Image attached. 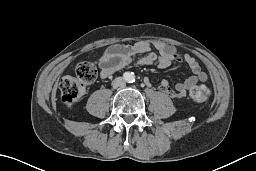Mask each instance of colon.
<instances>
[{"label":"colon","mask_w":256,"mask_h":171,"mask_svg":"<svg viewBox=\"0 0 256 171\" xmlns=\"http://www.w3.org/2000/svg\"><path fill=\"white\" fill-rule=\"evenodd\" d=\"M97 77L96 67L89 62H81L76 68L74 75H66L59 82L61 99L66 105H73L83 96L87 85ZM191 99L197 103L209 102L212 91L205 84L195 85L190 89Z\"/></svg>","instance_id":"obj_1"}]
</instances>
